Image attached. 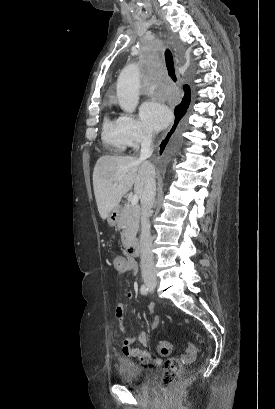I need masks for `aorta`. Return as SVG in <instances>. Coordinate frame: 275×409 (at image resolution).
Here are the masks:
<instances>
[{
  "instance_id": "1",
  "label": "aorta",
  "mask_w": 275,
  "mask_h": 409,
  "mask_svg": "<svg viewBox=\"0 0 275 409\" xmlns=\"http://www.w3.org/2000/svg\"><path fill=\"white\" fill-rule=\"evenodd\" d=\"M139 72L137 64H127L117 78V98L125 112H134L140 98Z\"/></svg>"
}]
</instances>
